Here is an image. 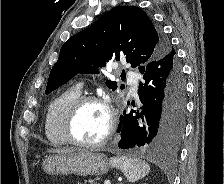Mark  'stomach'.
<instances>
[{
	"mask_svg": "<svg viewBox=\"0 0 224 184\" xmlns=\"http://www.w3.org/2000/svg\"><path fill=\"white\" fill-rule=\"evenodd\" d=\"M110 165L104 154L78 151L50 156L43 161L42 168L49 175L89 176L107 173Z\"/></svg>",
	"mask_w": 224,
	"mask_h": 184,
	"instance_id": "0dacf381",
	"label": "stomach"
}]
</instances>
